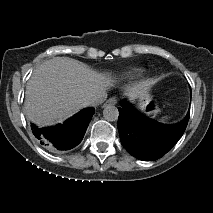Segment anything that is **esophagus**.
<instances>
[{"label":"esophagus","instance_id":"esophagus-1","mask_svg":"<svg viewBox=\"0 0 213 213\" xmlns=\"http://www.w3.org/2000/svg\"><path fill=\"white\" fill-rule=\"evenodd\" d=\"M117 103L116 98H110L106 101V105L110 104V105H115Z\"/></svg>","mask_w":213,"mask_h":213}]
</instances>
